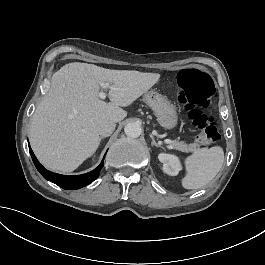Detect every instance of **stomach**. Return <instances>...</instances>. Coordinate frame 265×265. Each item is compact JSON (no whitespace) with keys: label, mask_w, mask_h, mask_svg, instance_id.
I'll list each match as a JSON object with an SVG mask.
<instances>
[{"label":"stomach","mask_w":265,"mask_h":265,"mask_svg":"<svg viewBox=\"0 0 265 265\" xmlns=\"http://www.w3.org/2000/svg\"><path fill=\"white\" fill-rule=\"evenodd\" d=\"M144 102L153 110L157 121L166 130L174 129L178 123V114L175 106L158 92H147Z\"/></svg>","instance_id":"stomach-1"}]
</instances>
